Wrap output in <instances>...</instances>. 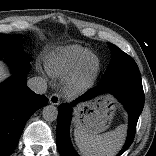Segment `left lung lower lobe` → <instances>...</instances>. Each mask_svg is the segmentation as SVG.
Segmentation results:
<instances>
[{
	"instance_id": "obj_1",
	"label": "left lung lower lobe",
	"mask_w": 156,
	"mask_h": 156,
	"mask_svg": "<svg viewBox=\"0 0 156 156\" xmlns=\"http://www.w3.org/2000/svg\"><path fill=\"white\" fill-rule=\"evenodd\" d=\"M105 92H110L117 96L125 105L129 113L128 137L123 149L117 156H120L129 148L134 139L136 124L144 106V92L142 82L117 80L98 83L96 87L90 89L72 103H63L60 105L58 108L56 138L57 147L61 156H78L73 149L69 138L72 107L80 101L92 99L98 94Z\"/></svg>"
}]
</instances>
